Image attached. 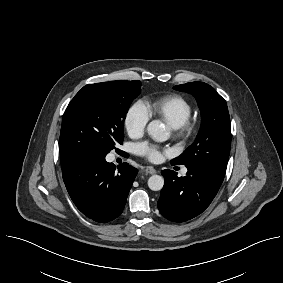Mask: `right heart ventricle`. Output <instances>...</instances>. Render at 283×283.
I'll return each instance as SVG.
<instances>
[{
  "label": "right heart ventricle",
  "instance_id": "right-heart-ventricle-1",
  "mask_svg": "<svg viewBox=\"0 0 283 283\" xmlns=\"http://www.w3.org/2000/svg\"><path fill=\"white\" fill-rule=\"evenodd\" d=\"M145 109L149 116L163 119L172 128L179 127L192 112L188 100L178 94H166L149 100Z\"/></svg>",
  "mask_w": 283,
  "mask_h": 283
}]
</instances>
